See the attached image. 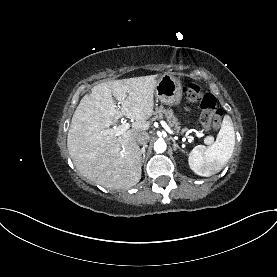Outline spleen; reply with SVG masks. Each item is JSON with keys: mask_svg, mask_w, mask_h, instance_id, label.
I'll return each mask as SVG.
<instances>
[{"mask_svg": "<svg viewBox=\"0 0 277 277\" xmlns=\"http://www.w3.org/2000/svg\"><path fill=\"white\" fill-rule=\"evenodd\" d=\"M235 146V131L229 115H225L216 141L211 146L197 145L189 154L190 168L208 177L222 170L231 158Z\"/></svg>", "mask_w": 277, "mask_h": 277, "instance_id": "spleen-1", "label": "spleen"}]
</instances>
